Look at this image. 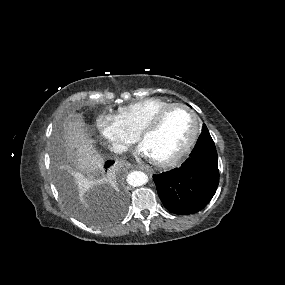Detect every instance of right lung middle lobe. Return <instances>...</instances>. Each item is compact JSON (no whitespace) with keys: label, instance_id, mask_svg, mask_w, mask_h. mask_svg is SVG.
<instances>
[{"label":"right lung middle lobe","instance_id":"dd1d6c3e","mask_svg":"<svg viewBox=\"0 0 285 285\" xmlns=\"http://www.w3.org/2000/svg\"><path fill=\"white\" fill-rule=\"evenodd\" d=\"M58 184H59V188H60V191L62 193L64 200L67 202V204L69 205L70 208L74 209V212L77 216H79L80 218H82L86 222L93 224V225H103L104 224V222H102L100 219L85 214L83 211H81L80 209H78L75 206V200H74V197L72 195L71 188L65 182L62 175L58 176Z\"/></svg>","mask_w":285,"mask_h":285}]
</instances>
